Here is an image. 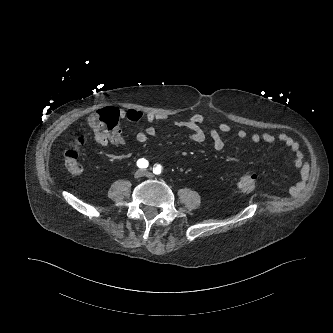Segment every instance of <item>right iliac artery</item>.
<instances>
[{"mask_svg":"<svg viewBox=\"0 0 333 333\" xmlns=\"http://www.w3.org/2000/svg\"><path fill=\"white\" fill-rule=\"evenodd\" d=\"M149 165L148 161L144 158H141L137 161V166L141 169L147 168Z\"/></svg>","mask_w":333,"mask_h":333,"instance_id":"obj_1","label":"right iliac artery"}]
</instances>
